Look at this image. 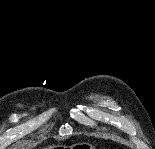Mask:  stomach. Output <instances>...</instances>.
Instances as JSON below:
<instances>
[{"instance_id": "stomach-1", "label": "stomach", "mask_w": 155, "mask_h": 149, "mask_svg": "<svg viewBox=\"0 0 155 149\" xmlns=\"http://www.w3.org/2000/svg\"><path fill=\"white\" fill-rule=\"evenodd\" d=\"M90 145L88 144H78L76 146H74V148H84V147H89Z\"/></svg>"}]
</instances>
